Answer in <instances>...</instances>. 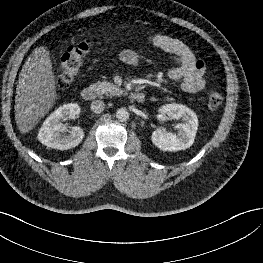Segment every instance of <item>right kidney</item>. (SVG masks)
Here are the masks:
<instances>
[{"label": "right kidney", "instance_id": "obj_1", "mask_svg": "<svg viewBox=\"0 0 263 263\" xmlns=\"http://www.w3.org/2000/svg\"><path fill=\"white\" fill-rule=\"evenodd\" d=\"M80 114V107L75 103L64 104L55 110L43 123L38 133V140L47 147L67 150L81 143L84 132L80 127H72L68 135L63 132L67 127L61 123L66 118L74 119Z\"/></svg>", "mask_w": 263, "mask_h": 263}]
</instances>
